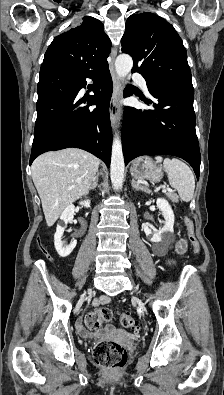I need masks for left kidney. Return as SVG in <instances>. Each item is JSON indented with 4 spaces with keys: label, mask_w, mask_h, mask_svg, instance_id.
<instances>
[{
    "label": "left kidney",
    "mask_w": 224,
    "mask_h": 395,
    "mask_svg": "<svg viewBox=\"0 0 224 395\" xmlns=\"http://www.w3.org/2000/svg\"><path fill=\"white\" fill-rule=\"evenodd\" d=\"M156 204L165 219L164 226L160 230L152 232L147 223L143 225L146 236L150 237L151 242L155 243L161 242L165 234L173 231L174 226V213L168 201L163 198H158Z\"/></svg>",
    "instance_id": "5707ae66"
}]
</instances>
